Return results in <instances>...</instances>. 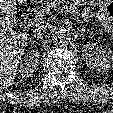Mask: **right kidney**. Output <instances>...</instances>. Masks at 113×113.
Wrapping results in <instances>:
<instances>
[{"instance_id":"obj_1","label":"right kidney","mask_w":113,"mask_h":113,"mask_svg":"<svg viewBox=\"0 0 113 113\" xmlns=\"http://www.w3.org/2000/svg\"><path fill=\"white\" fill-rule=\"evenodd\" d=\"M39 53L33 50L27 55L20 65V74L22 77L31 75L38 66Z\"/></svg>"}]
</instances>
